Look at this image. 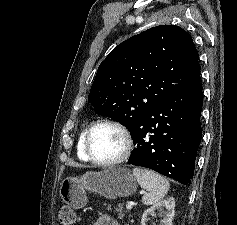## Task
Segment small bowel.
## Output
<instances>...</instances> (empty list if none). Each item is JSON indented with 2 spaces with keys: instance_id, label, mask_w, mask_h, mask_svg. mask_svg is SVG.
Listing matches in <instances>:
<instances>
[{
  "instance_id": "1",
  "label": "small bowel",
  "mask_w": 237,
  "mask_h": 225,
  "mask_svg": "<svg viewBox=\"0 0 237 225\" xmlns=\"http://www.w3.org/2000/svg\"><path fill=\"white\" fill-rule=\"evenodd\" d=\"M94 225H120L115 219L109 216H100L96 219Z\"/></svg>"
}]
</instances>
